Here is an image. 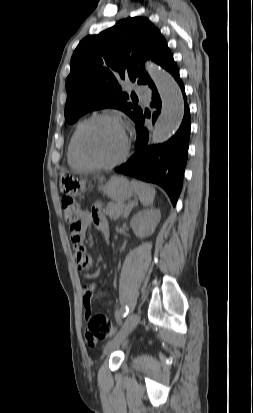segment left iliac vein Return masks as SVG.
Segmentation results:
<instances>
[{
	"label": "left iliac vein",
	"instance_id": "4c4485c4",
	"mask_svg": "<svg viewBox=\"0 0 253 413\" xmlns=\"http://www.w3.org/2000/svg\"><path fill=\"white\" fill-rule=\"evenodd\" d=\"M140 322V314H132L124 323L117 335L110 340L104 347V354L109 355L113 350L118 348L122 342L126 339L129 333L138 325Z\"/></svg>",
	"mask_w": 253,
	"mask_h": 413
}]
</instances>
